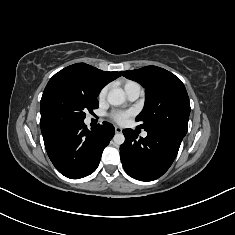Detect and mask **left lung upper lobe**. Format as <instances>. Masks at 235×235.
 <instances>
[{
  "mask_svg": "<svg viewBox=\"0 0 235 235\" xmlns=\"http://www.w3.org/2000/svg\"><path fill=\"white\" fill-rule=\"evenodd\" d=\"M120 73L146 89L144 108L136 117V121L141 122L140 128L186 135L190 102L185 86L177 76L157 66Z\"/></svg>",
  "mask_w": 235,
  "mask_h": 235,
  "instance_id": "left-lung-upper-lobe-1",
  "label": "left lung upper lobe"
}]
</instances>
